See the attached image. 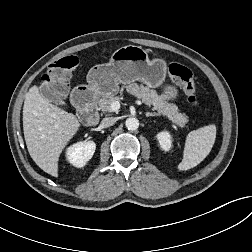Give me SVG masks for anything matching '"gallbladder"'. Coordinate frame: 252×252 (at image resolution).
<instances>
[{
  "label": "gallbladder",
  "instance_id": "obj_1",
  "mask_svg": "<svg viewBox=\"0 0 252 252\" xmlns=\"http://www.w3.org/2000/svg\"><path fill=\"white\" fill-rule=\"evenodd\" d=\"M40 92L48 101L56 104V105H65V102L61 99V97L55 93L52 89L47 85H42L40 87Z\"/></svg>",
  "mask_w": 252,
  "mask_h": 252
}]
</instances>
